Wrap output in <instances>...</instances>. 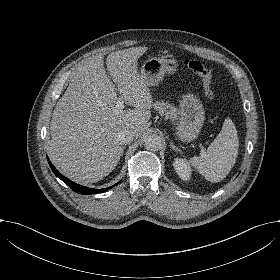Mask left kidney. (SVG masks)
I'll use <instances>...</instances> for the list:
<instances>
[{"label": "left kidney", "instance_id": "left-kidney-1", "mask_svg": "<svg viewBox=\"0 0 280 280\" xmlns=\"http://www.w3.org/2000/svg\"><path fill=\"white\" fill-rule=\"evenodd\" d=\"M173 167L178 174V176L184 180L189 181L191 178V167L185 159L175 158L173 162Z\"/></svg>", "mask_w": 280, "mask_h": 280}]
</instances>
